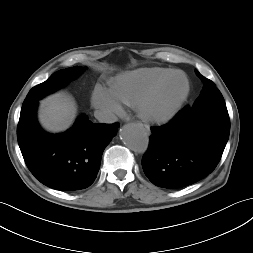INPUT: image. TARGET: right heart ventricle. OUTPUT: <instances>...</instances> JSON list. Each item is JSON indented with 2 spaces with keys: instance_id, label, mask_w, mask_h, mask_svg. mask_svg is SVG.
Returning a JSON list of instances; mask_svg holds the SVG:
<instances>
[{
  "instance_id": "right-heart-ventricle-1",
  "label": "right heart ventricle",
  "mask_w": 253,
  "mask_h": 253,
  "mask_svg": "<svg viewBox=\"0 0 253 253\" xmlns=\"http://www.w3.org/2000/svg\"><path fill=\"white\" fill-rule=\"evenodd\" d=\"M173 72L168 68H141L117 76L111 82L110 90L120 103L137 106L155 85Z\"/></svg>"
}]
</instances>
